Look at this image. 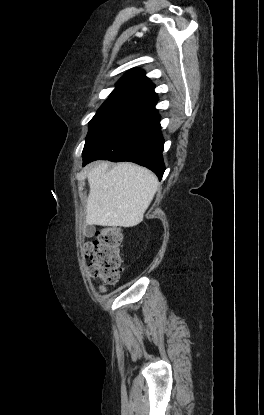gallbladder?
<instances>
[{"label":"gallbladder","instance_id":"1","mask_svg":"<svg viewBox=\"0 0 264 415\" xmlns=\"http://www.w3.org/2000/svg\"><path fill=\"white\" fill-rule=\"evenodd\" d=\"M87 236H90L92 234V227H88L86 231Z\"/></svg>","mask_w":264,"mask_h":415}]
</instances>
